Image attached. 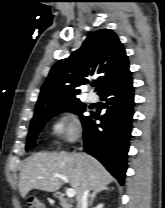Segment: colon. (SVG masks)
Returning a JSON list of instances; mask_svg holds the SVG:
<instances>
[{
	"mask_svg": "<svg viewBox=\"0 0 165 208\" xmlns=\"http://www.w3.org/2000/svg\"><path fill=\"white\" fill-rule=\"evenodd\" d=\"M29 208H44L43 204L37 199H31L28 203Z\"/></svg>",
	"mask_w": 165,
	"mask_h": 208,
	"instance_id": "obj_1",
	"label": "colon"
}]
</instances>
